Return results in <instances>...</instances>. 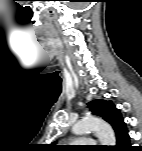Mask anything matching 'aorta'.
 I'll list each match as a JSON object with an SVG mask.
<instances>
[{
  "instance_id": "762f6f07",
  "label": "aorta",
  "mask_w": 142,
  "mask_h": 151,
  "mask_svg": "<svg viewBox=\"0 0 142 151\" xmlns=\"http://www.w3.org/2000/svg\"><path fill=\"white\" fill-rule=\"evenodd\" d=\"M96 132L101 145L115 146L116 138L112 127L105 121L89 117L76 122L72 127L75 135H82L89 132Z\"/></svg>"
}]
</instances>
